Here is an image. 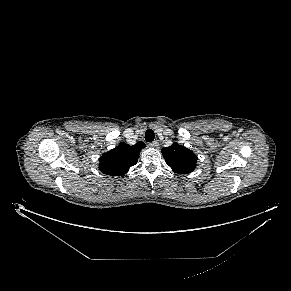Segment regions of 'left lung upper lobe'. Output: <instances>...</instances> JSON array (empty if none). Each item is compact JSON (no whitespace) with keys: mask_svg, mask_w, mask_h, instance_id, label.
<instances>
[{"mask_svg":"<svg viewBox=\"0 0 291 291\" xmlns=\"http://www.w3.org/2000/svg\"><path fill=\"white\" fill-rule=\"evenodd\" d=\"M162 154L166 163L177 174H189L196 168L197 156L178 143L162 148Z\"/></svg>","mask_w":291,"mask_h":291,"instance_id":"5c2ea615","label":"left lung upper lobe"}]
</instances>
